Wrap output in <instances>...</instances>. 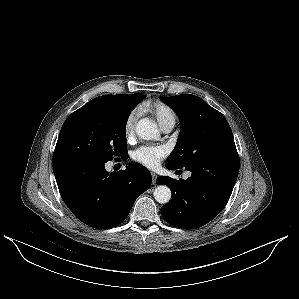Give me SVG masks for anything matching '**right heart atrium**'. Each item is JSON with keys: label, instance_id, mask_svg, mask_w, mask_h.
<instances>
[{"label": "right heart atrium", "instance_id": "d8ad5b80", "mask_svg": "<svg viewBox=\"0 0 299 299\" xmlns=\"http://www.w3.org/2000/svg\"><path fill=\"white\" fill-rule=\"evenodd\" d=\"M138 111L132 110L126 117L124 122V135L127 140H130L134 137L135 128L138 120Z\"/></svg>", "mask_w": 299, "mask_h": 299}]
</instances>
